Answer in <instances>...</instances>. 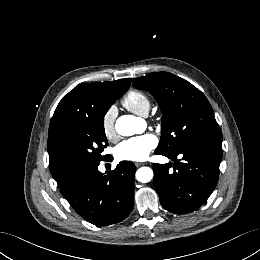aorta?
I'll use <instances>...</instances> for the list:
<instances>
[{
  "label": "aorta",
  "instance_id": "obj_1",
  "mask_svg": "<svg viewBox=\"0 0 260 260\" xmlns=\"http://www.w3.org/2000/svg\"><path fill=\"white\" fill-rule=\"evenodd\" d=\"M141 119L132 115L120 116L115 123L116 132L122 136H132L139 132ZM153 170L149 167H141L136 171V179L141 183L150 182L153 178Z\"/></svg>",
  "mask_w": 260,
  "mask_h": 260
}]
</instances>
